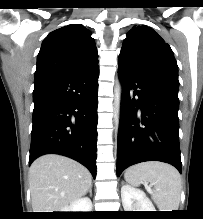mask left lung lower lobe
<instances>
[{
    "mask_svg": "<svg viewBox=\"0 0 203 219\" xmlns=\"http://www.w3.org/2000/svg\"><path fill=\"white\" fill-rule=\"evenodd\" d=\"M118 75L123 90L117 176L127 167L144 161L169 163L181 173L178 85L121 64Z\"/></svg>",
    "mask_w": 203,
    "mask_h": 219,
    "instance_id": "0a47b994",
    "label": "left lung lower lobe"
}]
</instances>
